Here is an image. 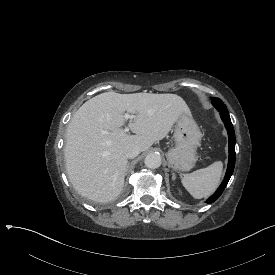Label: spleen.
I'll list each match as a JSON object with an SVG mask.
<instances>
[{
  "label": "spleen",
  "mask_w": 275,
  "mask_h": 275,
  "mask_svg": "<svg viewBox=\"0 0 275 275\" xmlns=\"http://www.w3.org/2000/svg\"><path fill=\"white\" fill-rule=\"evenodd\" d=\"M222 172L223 162L217 161L205 169L185 175L182 183L195 199L208 198L218 189Z\"/></svg>",
  "instance_id": "obj_1"
}]
</instances>
